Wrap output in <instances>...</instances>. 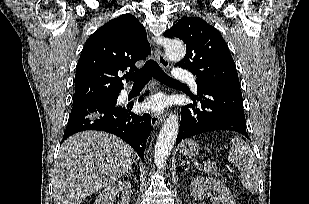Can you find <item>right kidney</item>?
I'll return each instance as SVG.
<instances>
[{
    "mask_svg": "<svg viewBox=\"0 0 309 204\" xmlns=\"http://www.w3.org/2000/svg\"><path fill=\"white\" fill-rule=\"evenodd\" d=\"M116 195L121 196V201L118 204H129L131 184L119 181L114 185L107 186L96 198L94 204H113Z\"/></svg>",
    "mask_w": 309,
    "mask_h": 204,
    "instance_id": "right-kidney-1",
    "label": "right kidney"
}]
</instances>
